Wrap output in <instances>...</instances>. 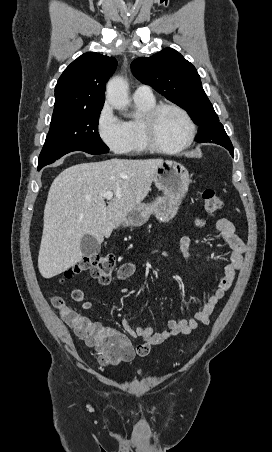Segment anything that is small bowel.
<instances>
[{
	"instance_id": "1",
	"label": "small bowel",
	"mask_w": 272,
	"mask_h": 452,
	"mask_svg": "<svg viewBox=\"0 0 272 452\" xmlns=\"http://www.w3.org/2000/svg\"><path fill=\"white\" fill-rule=\"evenodd\" d=\"M195 224L198 227H203L206 222L204 219L196 218ZM216 227L220 233L221 239L226 243L230 250L229 261L224 266L223 276L219 282L217 289L208 298L204 306L195 312L194 317L183 319L180 321H170L169 328L162 332H154V330L146 325H139L133 329L126 318L122 319V324L125 332H121L115 328L104 327L99 322L92 321L90 318L80 315L77 311L71 309L70 313L61 314L66 324L74 331V333L87 344L98 347V340L103 336H111L117 338L122 345L130 349L132 359L135 352L130 343V338H141L142 344L139 347H146V352L136 353L144 356L149 352V349L163 343L167 339L186 335L197 329L199 324H209L211 316L215 311L218 303L224 298L226 292L233 284L237 274L242 270L244 265L243 256L246 251V246L241 238L235 233V229L230 220L221 218L217 221ZM192 239L184 235L179 240V247L184 258L194 264L196 259L191 254ZM137 270V265L133 262L122 264L117 271V279L120 281L126 280L133 276ZM73 301L81 303L83 310H91L94 304L90 301L84 300V293L80 289H75L71 292Z\"/></svg>"
}]
</instances>
